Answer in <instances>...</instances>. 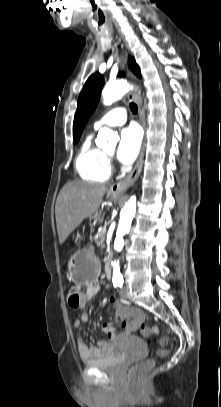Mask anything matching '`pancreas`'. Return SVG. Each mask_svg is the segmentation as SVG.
I'll return each mask as SVG.
<instances>
[{
	"instance_id": "1",
	"label": "pancreas",
	"mask_w": 221,
	"mask_h": 407,
	"mask_svg": "<svg viewBox=\"0 0 221 407\" xmlns=\"http://www.w3.org/2000/svg\"><path fill=\"white\" fill-rule=\"evenodd\" d=\"M94 241L96 243L97 246H104V241H105V231H101L99 233L96 234Z\"/></svg>"
}]
</instances>
